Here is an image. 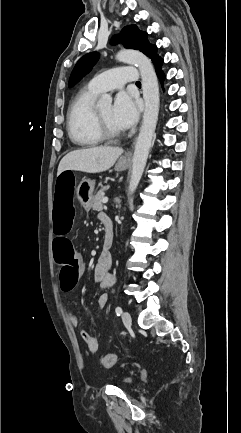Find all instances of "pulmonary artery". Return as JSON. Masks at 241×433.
Wrapping results in <instances>:
<instances>
[{"label":"pulmonary artery","mask_w":241,"mask_h":433,"mask_svg":"<svg viewBox=\"0 0 241 433\" xmlns=\"http://www.w3.org/2000/svg\"><path fill=\"white\" fill-rule=\"evenodd\" d=\"M139 70L135 66H119L105 71L93 77L86 85V88L101 93L117 90L125 84H134L138 81Z\"/></svg>","instance_id":"1"}]
</instances>
